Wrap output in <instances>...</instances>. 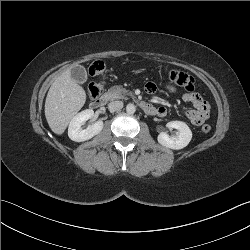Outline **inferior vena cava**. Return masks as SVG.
I'll list each match as a JSON object with an SVG mask.
<instances>
[{
  "mask_svg": "<svg viewBox=\"0 0 250 250\" xmlns=\"http://www.w3.org/2000/svg\"><path fill=\"white\" fill-rule=\"evenodd\" d=\"M123 108L122 101H113L108 104V109L110 112L119 111Z\"/></svg>",
  "mask_w": 250,
  "mask_h": 250,
  "instance_id": "602c4592",
  "label": "inferior vena cava"
}]
</instances>
